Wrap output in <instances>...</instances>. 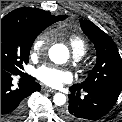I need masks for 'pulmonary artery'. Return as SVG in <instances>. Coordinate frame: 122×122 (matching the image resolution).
<instances>
[{
  "label": "pulmonary artery",
  "mask_w": 122,
  "mask_h": 122,
  "mask_svg": "<svg viewBox=\"0 0 122 122\" xmlns=\"http://www.w3.org/2000/svg\"><path fill=\"white\" fill-rule=\"evenodd\" d=\"M73 54H74V58H75L76 60H79V59L82 57V55L79 54V53H73Z\"/></svg>",
  "instance_id": "1"
}]
</instances>
